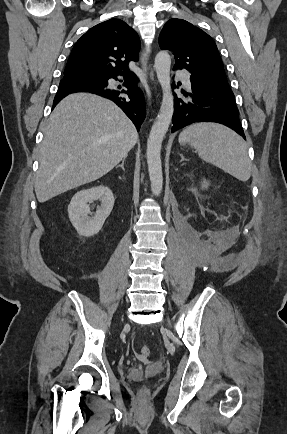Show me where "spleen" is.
Masks as SVG:
<instances>
[{
    "mask_svg": "<svg viewBox=\"0 0 287 434\" xmlns=\"http://www.w3.org/2000/svg\"><path fill=\"white\" fill-rule=\"evenodd\" d=\"M181 144L188 143L199 157L245 182L251 176V162L243 138L230 128L217 123H196L179 135Z\"/></svg>",
    "mask_w": 287,
    "mask_h": 434,
    "instance_id": "obj_1",
    "label": "spleen"
}]
</instances>
